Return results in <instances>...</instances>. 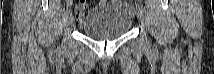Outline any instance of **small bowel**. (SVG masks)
Here are the masks:
<instances>
[{
  "mask_svg": "<svg viewBox=\"0 0 214 74\" xmlns=\"http://www.w3.org/2000/svg\"><path fill=\"white\" fill-rule=\"evenodd\" d=\"M109 6H124L127 10L133 13L132 7L129 5H122L121 1H102L99 3L97 8H106ZM92 9L88 6L87 3L81 2L75 8V17L78 23L81 25L85 19V12L91 11Z\"/></svg>",
  "mask_w": 214,
  "mask_h": 74,
  "instance_id": "1",
  "label": "small bowel"
}]
</instances>
